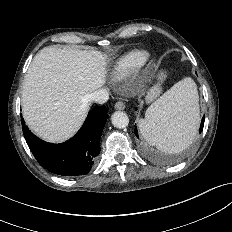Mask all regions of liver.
<instances>
[{
  "label": "liver",
  "mask_w": 232,
  "mask_h": 232,
  "mask_svg": "<svg viewBox=\"0 0 232 232\" xmlns=\"http://www.w3.org/2000/svg\"><path fill=\"white\" fill-rule=\"evenodd\" d=\"M107 56L94 49L40 50L22 89L23 117L42 139L58 143L73 136L89 110L88 95L105 83Z\"/></svg>",
  "instance_id": "1"
}]
</instances>
